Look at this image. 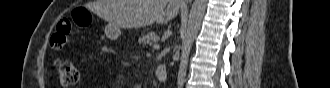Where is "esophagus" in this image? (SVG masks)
I'll use <instances>...</instances> for the list:
<instances>
[{
    "instance_id": "34e87169",
    "label": "esophagus",
    "mask_w": 330,
    "mask_h": 88,
    "mask_svg": "<svg viewBox=\"0 0 330 88\" xmlns=\"http://www.w3.org/2000/svg\"><path fill=\"white\" fill-rule=\"evenodd\" d=\"M191 0H183V2H190Z\"/></svg>"
}]
</instances>
